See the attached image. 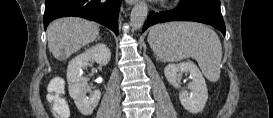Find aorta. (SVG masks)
I'll list each match as a JSON object with an SVG mask.
<instances>
[{
  "label": "aorta",
  "mask_w": 273,
  "mask_h": 118,
  "mask_svg": "<svg viewBox=\"0 0 273 118\" xmlns=\"http://www.w3.org/2000/svg\"><path fill=\"white\" fill-rule=\"evenodd\" d=\"M147 14H148L147 3L145 1H139L132 9L130 15L131 26L136 30L140 29L147 18Z\"/></svg>",
  "instance_id": "obj_1"
}]
</instances>
